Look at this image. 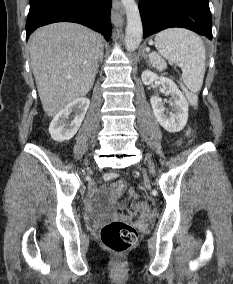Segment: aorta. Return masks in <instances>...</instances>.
I'll use <instances>...</instances> for the list:
<instances>
[{"label": "aorta", "instance_id": "1", "mask_svg": "<svg viewBox=\"0 0 233 284\" xmlns=\"http://www.w3.org/2000/svg\"><path fill=\"white\" fill-rule=\"evenodd\" d=\"M121 2L127 17L125 31L126 49L134 51L138 48L143 35L141 16L135 0H121Z\"/></svg>", "mask_w": 233, "mask_h": 284}]
</instances>
